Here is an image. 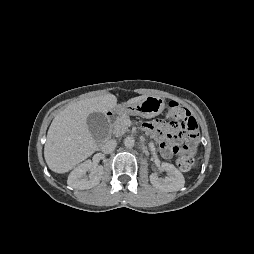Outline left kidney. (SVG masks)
Here are the masks:
<instances>
[{
    "label": "left kidney",
    "mask_w": 254,
    "mask_h": 254,
    "mask_svg": "<svg viewBox=\"0 0 254 254\" xmlns=\"http://www.w3.org/2000/svg\"><path fill=\"white\" fill-rule=\"evenodd\" d=\"M161 170L167 172L165 178H159L156 174L150 175L151 184L165 192L178 191L184 187L185 180L182 173L173 165L169 163H162Z\"/></svg>",
    "instance_id": "5707ae66"
}]
</instances>
